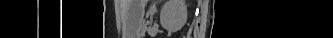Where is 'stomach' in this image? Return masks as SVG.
<instances>
[{
    "label": "stomach",
    "instance_id": "1",
    "mask_svg": "<svg viewBox=\"0 0 333 38\" xmlns=\"http://www.w3.org/2000/svg\"><path fill=\"white\" fill-rule=\"evenodd\" d=\"M136 2L135 22L137 24V28L140 29L144 17V0H137Z\"/></svg>",
    "mask_w": 333,
    "mask_h": 38
}]
</instances>
